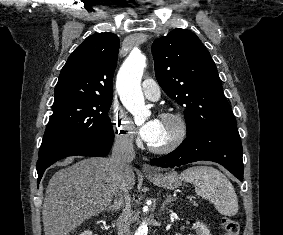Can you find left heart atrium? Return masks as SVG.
Instances as JSON below:
<instances>
[{"label": "left heart atrium", "mask_w": 283, "mask_h": 235, "mask_svg": "<svg viewBox=\"0 0 283 235\" xmlns=\"http://www.w3.org/2000/svg\"><path fill=\"white\" fill-rule=\"evenodd\" d=\"M161 123L159 119H151L140 129V135L148 143H152L157 137Z\"/></svg>", "instance_id": "left-heart-atrium-1"}]
</instances>
